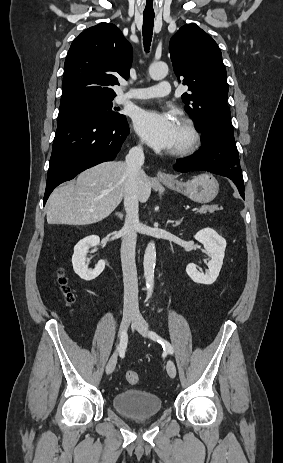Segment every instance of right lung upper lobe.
Returning <instances> with one entry per match:
<instances>
[{
	"mask_svg": "<svg viewBox=\"0 0 283 463\" xmlns=\"http://www.w3.org/2000/svg\"><path fill=\"white\" fill-rule=\"evenodd\" d=\"M133 50L114 24L100 23L71 44L64 65L60 108L89 98L115 96L118 76L127 79Z\"/></svg>",
	"mask_w": 283,
	"mask_h": 463,
	"instance_id": "cb5924a9",
	"label": "right lung upper lobe"
}]
</instances>
